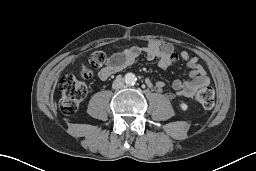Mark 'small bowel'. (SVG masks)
I'll use <instances>...</instances> for the list:
<instances>
[{
  "mask_svg": "<svg viewBox=\"0 0 256 171\" xmlns=\"http://www.w3.org/2000/svg\"><path fill=\"white\" fill-rule=\"evenodd\" d=\"M141 53H144L150 61L157 59L161 68H167L179 59L186 62L189 69L188 78L175 79L172 82L173 90L165 92V96L169 99L176 96H193L199 88L209 83V77L197 57L191 56L186 50L177 54L171 43L159 40H151L143 47L133 46L112 54L99 69V79L106 80L114 73L130 66ZM146 84L154 87L158 92H161L165 86L164 82H153L151 79H147Z\"/></svg>",
  "mask_w": 256,
  "mask_h": 171,
  "instance_id": "obj_1",
  "label": "small bowel"
}]
</instances>
